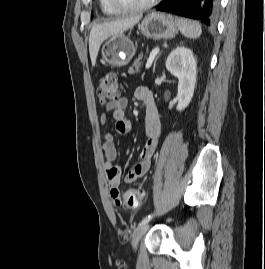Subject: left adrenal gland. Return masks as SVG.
<instances>
[{"mask_svg":"<svg viewBox=\"0 0 265 269\" xmlns=\"http://www.w3.org/2000/svg\"><path fill=\"white\" fill-rule=\"evenodd\" d=\"M159 55H160V54H159ZM159 55H158V57H159ZM158 57L156 58V60H155V62H154L153 72H155V67H156V62H157Z\"/></svg>","mask_w":265,"mask_h":269,"instance_id":"1","label":"left adrenal gland"}]
</instances>
